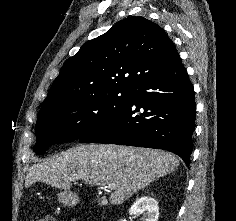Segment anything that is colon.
Wrapping results in <instances>:
<instances>
[{"mask_svg":"<svg viewBox=\"0 0 236 221\" xmlns=\"http://www.w3.org/2000/svg\"><path fill=\"white\" fill-rule=\"evenodd\" d=\"M34 221H57L56 218L51 214H46L43 217L36 219Z\"/></svg>","mask_w":236,"mask_h":221,"instance_id":"colon-1","label":"colon"}]
</instances>
